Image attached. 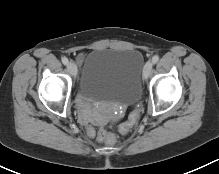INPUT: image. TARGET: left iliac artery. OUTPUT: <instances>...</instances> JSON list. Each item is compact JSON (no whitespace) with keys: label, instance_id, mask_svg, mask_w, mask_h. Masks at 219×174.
<instances>
[{"label":"left iliac artery","instance_id":"obj_1","mask_svg":"<svg viewBox=\"0 0 219 174\" xmlns=\"http://www.w3.org/2000/svg\"><path fill=\"white\" fill-rule=\"evenodd\" d=\"M158 61H159V56H158V55H154V56L152 57V62H153L154 64H156Z\"/></svg>","mask_w":219,"mask_h":174}]
</instances>
